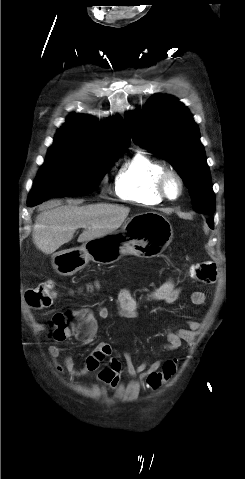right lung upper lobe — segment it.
<instances>
[{
	"label": "right lung upper lobe",
	"instance_id": "1",
	"mask_svg": "<svg viewBox=\"0 0 245 479\" xmlns=\"http://www.w3.org/2000/svg\"><path fill=\"white\" fill-rule=\"evenodd\" d=\"M55 139L80 143L92 149L124 150L130 138L119 116L112 117L108 125L82 114H71Z\"/></svg>",
	"mask_w": 245,
	"mask_h": 479
}]
</instances>
